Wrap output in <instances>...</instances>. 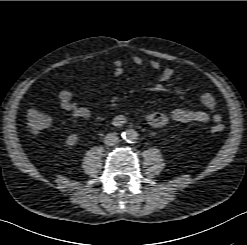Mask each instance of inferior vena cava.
<instances>
[{"instance_id":"inferior-vena-cava-1","label":"inferior vena cava","mask_w":247,"mask_h":245,"mask_svg":"<svg viewBox=\"0 0 247 245\" xmlns=\"http://www.w3.org/2000/svg\"><path fill=\"white\" fill-rule=\"evenodd\" d=\"M118 142V136L116 133H108L104 138V143L107 146H113Z\"/></svg>"}]
</instances>
